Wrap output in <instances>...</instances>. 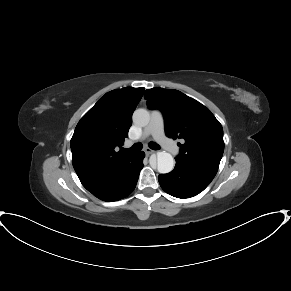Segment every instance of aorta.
<instances>
[{
  "mask_svg": "<svg viewBox=\"0 0 291 291\" xmlns=\"http://www.w3.org/2000/svg\"><path fill=\"white\" fill-rule=\"evenodd\" d=\"M150 121V114L146 109H137L133 113V122L141 127L148 125ZM174 158L173 156L165 151L159 152L157 154V170L161 174L169 173L174 168Z\"/></svg>",
  "mask_w": 291,
  "mask_h": 291,
  "instance_id": "aorta-1",
  "label": "aorta"
}]
</instances>
